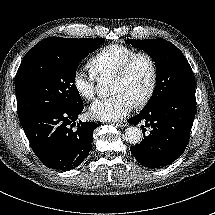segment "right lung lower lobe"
Here are the masks:
<instances>
[{
	"instance_id": "98d812e1",
	"label": "right lung lower lobe",
	"mask_w": 215,
	"mask_h": 215,
	"mask_svg": "<svg viewBox=\"0 0 215 215\" xmlns=\"http://www.w3.org/2000/svg\"><path fill=\"white\" fill-rule=\"evenodd\" d=\"M83 108V104L76 108L48 106L20 119L32 150L45 166L71 170L90 152L93 131L101 123L79 121L72 130Z\"/></svg>"
}]
</instances>
